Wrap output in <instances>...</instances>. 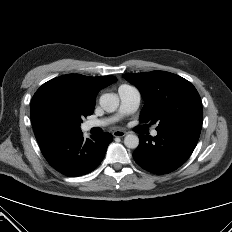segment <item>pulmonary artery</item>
<instances>
[{
    "mask_svg": "<svg viewBox=\"0 0 232 232\" xmlns=\"http://www.w3.org/2000/svg\"><path fill=\"white\" fill-rule=\"evenodd\" d=\"M118 94L120 97V109L117 115L109 118L99 119V120H89L84 123L83 129L90 130L96 127H105L114 122L124 115L133 113L137 110L140 105L141 94L138 89L123 85L118 89ZM152 136L157 135V130H152Z\"/></svg>",
    "mask_w": 232,
    "mask_h": 232,
    "instance_id": "e3ab8cb5",
    "label": "pulmonary artery"
}]
</instances>
